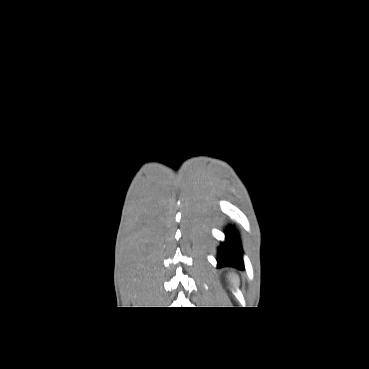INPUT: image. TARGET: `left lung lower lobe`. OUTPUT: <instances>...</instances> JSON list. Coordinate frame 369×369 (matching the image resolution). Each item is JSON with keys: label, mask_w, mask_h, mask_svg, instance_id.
I'll use <instances>...</instances> for the list:
<instances>
[{"label": "left lung lower lobe", "mask_w": 369, "mask_h": 369, "mask_svg": "<svg viewBox=\"0 0 369 369\" xmlns=\"http://www.w3.org/2000/svg\"><path fill=\"white\" fill-rule=\"evenodd\" d=\"M226 242L220 245L218 266H232L243 269L241 245L237 231L229 226L225 232Z\"/></svg>", "instance_id": "1"}]
</instances>
